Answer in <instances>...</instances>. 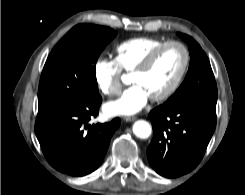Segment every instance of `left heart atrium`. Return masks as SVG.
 <instances>
[{"instance_id": "left-heart-atrium-1", "label": "left heart atrium", "mask_w": 245, "mask_h": 195, "mask_svg": "<svg viewBox=\"0 0 245 195\" xmlns=\"http://www.w3.org/2000/svg\"><path fill=\"white\" fill-rule=\"evenodd\" d=\"M149 98L148 92L140 84H134L118 100L108 102L104 110L113 116L135 114L146 105Z\"/></svg>"}]
</instances>
